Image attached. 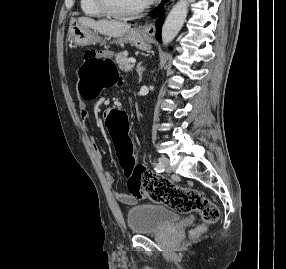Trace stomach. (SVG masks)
<instances>
[{
  "mask_svg": "<svg viewBox=\"0 0 286 269\" xmlns=\"http://www.w3.org/2000/svg\"><path fill=\"white\" fill-rule=\"evenodd\" d=\"M68 41L76 46H87L98 42L104 43L96 32L91 31L88 27L83 26L76 20H72L70 22ZM115 42L120 44L130 43L131 45L144 51L150 49V44L145 34L137 28L130 29L124 36Z\"/></svg>",
  "mask_w": 286,
  "mask_h": 269,
  "instance_id": "stomach-1",
  "label": "stomach"
}]
</instances>
